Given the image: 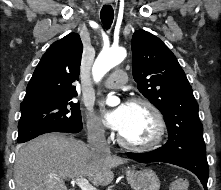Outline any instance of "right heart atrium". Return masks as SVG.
<instances>
[{
  "label": "right heart atrium",
  "instance_id": "right-heart-atrium-1",
  "mask_svg": "<svg viewBox=\"0 0 221 190\" xmlns=\"http://www.w3.org/2000/svg\"><path fill=\"white\" fill-rule=\"evenodd\" d=\"M86 131L92 141L104 142L106 140V131L99 118L91 110L86 113Z\"/></svg>",
  "mask_w": 221,
  "mask_h": 190
}]
</instances>
